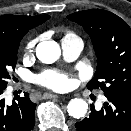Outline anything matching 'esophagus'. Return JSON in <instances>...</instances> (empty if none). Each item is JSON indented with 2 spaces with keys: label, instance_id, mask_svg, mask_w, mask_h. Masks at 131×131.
Wrapping results in <instances>:
<instances>
[{
  "label": "esophagus",
  "instance_id": "esophagus-1",
  "mask_svg": "<svg viewBox=\"0 0 131 131\" xmlns=\"http://www.w3.org/2000/svg\"><path fill=\"white\" fill-rule=\"evenodd\" d=\"M59 96L58 95H55V94H51V93H45L43 95V98L44 99H55V98H58Z\"/></svg>",
  "mask_w": 131,
  "mask_h": 131
}]
</instances>
